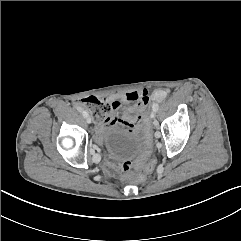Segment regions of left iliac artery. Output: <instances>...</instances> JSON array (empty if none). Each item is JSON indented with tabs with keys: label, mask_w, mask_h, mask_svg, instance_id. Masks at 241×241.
<instances>
[{
	"label": "left iliac artery",
	"mask_w": 241,
	"mask_h": 241,
	"mask_svg": "<svg viewBox=\"0 0 241 241\" xmlns=\"http://www.w3.org/2000/svg\"><path fill=\"white\" fill-rule=\"evenodd\" d=\"M159 108V105L158 103H154L153 106H152V109L156 112Z\"/></svg>",
	"instance_id": "1"
}]
</instances>
